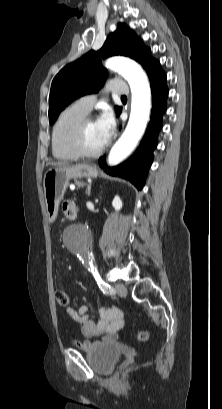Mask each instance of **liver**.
I'll use <instances>...</instances> for the list:
<instances>
[{"instance_id": "6515ba94", "label": "liver", "mask_w": 222, "mask_h": 409, "mask_svg": "<svg viewBox=\"0 0 222 409\" xmlns=\"http://www.w3.org/2000/svg\"><path fill=\"white\" fill-rule=\"evenodd\" d=\"M48 165H52V166H64V163H49Z\"/></svg>"}]
</instances>
